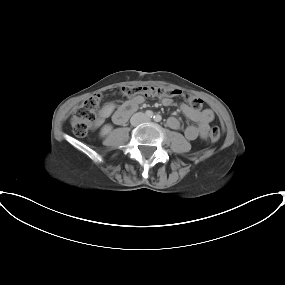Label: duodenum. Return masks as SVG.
Instances as JSON below:
<instances>
[{
	"mask_svg": "<svg viewBox=\"0 0 285 285\" xmlns=\"http://www.w3.org/2000/svg\"><path fill=\"white\" fill-rule=\"evenodd\" d=\"M136 110V106L133 103L123 104L114 114L113 120L117 124H123L128 117Z\"/></svg>",
	"mask_w": 285,
	"mask_h": 285,
	"instance_id": "1",
	"label": "duodenum"
}]
</instances>
